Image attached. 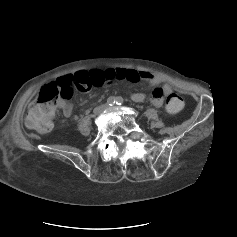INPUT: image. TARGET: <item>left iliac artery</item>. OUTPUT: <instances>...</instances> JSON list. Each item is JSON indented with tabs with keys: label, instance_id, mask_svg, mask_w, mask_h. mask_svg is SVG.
I'll return each instance as SVG.
<instances>
[{
	"label": "left iliac artery",
	"instance_id": "left-iliac-artery-1",
	"mask_svg": "<svg viewBox=\"0 0 237 237\" xmlns=\"http://www.w3.org/2000/svg\"><path fill=\"white\" fill-rule=\"evenodd\" d=\"M123 102H124V100H123L122 97H117V99H116V104L117 105H121V104H123Z\"/></svg>",
	"mask_w": 237,
	"mask_h": 237
}]
</instances>
